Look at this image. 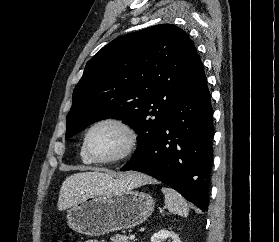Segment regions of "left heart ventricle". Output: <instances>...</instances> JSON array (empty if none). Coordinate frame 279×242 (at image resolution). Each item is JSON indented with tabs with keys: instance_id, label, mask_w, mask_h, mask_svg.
I'll list each match as a JSON object with an SVG mask.
<instances>
[{
	"instance_id": "obj_1",
	"label": "left heart ventricle",
	"mask_w": 279,
	"mask_h": 242,
	"mask_svg": "<svg viewBox=\"0 0 279 242\" xmlns=\"http://www.w3.org/2000/svg\"><path fill=\"white\" fill-rule=\"evenodd\" d=\"M126 145V135L115 125L105 124L97 127L90 135L89 149L99 159L118 155Z\"/></svg>"
}]
</instances>
